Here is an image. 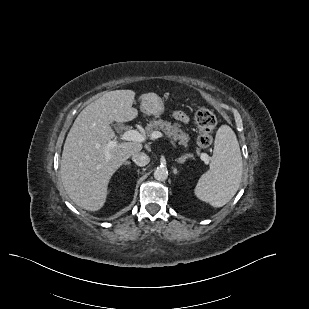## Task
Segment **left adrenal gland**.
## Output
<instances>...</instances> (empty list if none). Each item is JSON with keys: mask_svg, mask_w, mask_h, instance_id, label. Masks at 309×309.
<instances>
[{"mask_svg": "<svg viewBox=\"0 0 309 309\" xmlns=\"http://www.w3.org/2000/svg\"><path fill=\"white\" fill-rule=\"evenodd\" d=\"M190 157H192L191 154H185V155L181 156L180 158L176 159V161L178 163L182 164V163H184L186 161L187 158H190Z\"/></svg>", "mask_w": 309, "mask_h": 309, "instance_id": "a2214340", "label": "left adrenal gland"}]
</instances>
